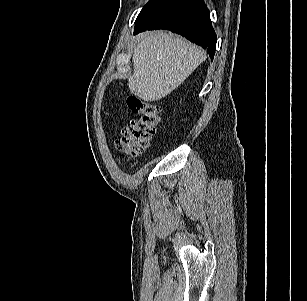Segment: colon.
<instances>
[{"mask_svg": "<svg viewBox=\"0 0 307 301\" xmlns=\"http://www.w3.org/2000/svg\"><path fill=\"white\" fill-rule=\"evenodd\" d=\"M130 110L137 115L123 129L116 146L123 154L135 158L145 152L160 121L158 104L130 98L127 102Z\"/></svg>", "mask_w": 307, "mask_h": 301, "instance_id": "5ec220e1", "label": "colon"}]
</instances>
